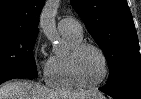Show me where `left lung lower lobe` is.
Returning a JSON list of instances; mask_svg holds the SVG:
<instances>
[{
	"mask_svg": "<svg viewBox=\"0 0 141 99\" xmlns=\"http://www.w3.org/2000/svg\"><path fill=\"white\" fill-rule=\"evenodd\" d=\"M115 99H141V83L125 82L99 88Z\"/></svg>",
	"mask_w": 141,
	"mask_h": 99,
	"instance_id": "obj_1",
	"label": "left lung lower lobe"
}]
</instances>
